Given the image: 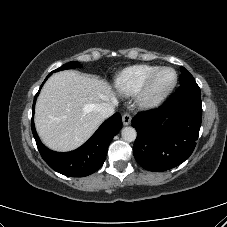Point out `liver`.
<instances>
[{
	"mask_svg": "<svg viewBox=\"0 0 227 227\" xmlns=\"http://www.w3.org/2000/svg\"><path fill=\"white\" fill-rule=\"evenodd\" d=\"M102 102L117 105L106 81L73 70L53 74L36 103L35 126L41 140L56 151L76 149L103 122L97 111Z\"/></svg>",
	"mask_w": 227,
	"mask_h": 227,
	"instance_id": "6515ba94",
	"label": "liver"
}]
</instances>
